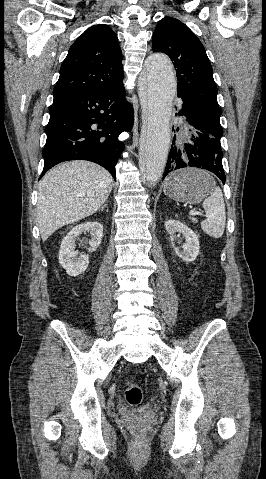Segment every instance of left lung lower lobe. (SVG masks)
Here are the masks:
<instances>
[{"label": "left lung lower lobe", "instance_id": "left-lung-lower-lobe-1", "mask_svg": "<svg viewBox=\"0 0 266 479\" xmlns=\"http://www.w3.org/2000/svg\"><path fill=\"white\" fill-rule=\"evenodd\" d=\"M179 116H184L187 124L184 129L185 138L176 143L174 136L163 179L174 170L197 167L213 172L224 184L226 175L222 165L220 138L215 136L206 121L185 101Z\"/></svg>", "mask_w": 266, "mask_h": 479}]
</instances>
